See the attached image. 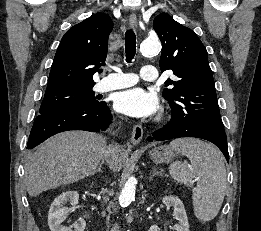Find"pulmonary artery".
Instances as JSON below:
<instances>
[{"instance_id": "1", "label": "pulmonary artery", "mask_w": 261, "mask_h": 231, "mask_svg": "<svg viewBox=\"0 0 261 231\" xmlns=\"http://www.w3.org/2000/svg\"><path fill=\"white\" fill-rule=\"evenodd\" d=\"M141 79L144 81H156L157 69L151 65L143 66ZM137 81V76L132 73L113 72L100 81L99 89L101 91H110L127 88L136 84Z\"/></svg>"}]
</instances>
